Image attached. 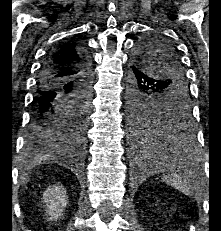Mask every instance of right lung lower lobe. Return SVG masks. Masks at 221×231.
I'll return each mask as SVG.
<instances>
[{"mask_svg": "<svg viewBox=\"0 0 221 231\" xmlns=\"http://www.w3.org/2000/svg\"><path fill=\"white\" fill-rule=\"evenodd\" d=\"M79 70L77 76L63 82L54 79L57 74L56 66L47 62V59L44 62L37 82L32 118L25 140V151L28 155L49 152L58 154L63 150L81 155L83 145L75 142L62 125L64 108L70 100L83 96L86 103L90 102L92 73L90 59L85 53L80 57Z\"/></svg>", "mask_w": 221, "mask_h": 231, "instance_id": "98d812e1", "label": "right lung lower lobe"}]
</instances>
